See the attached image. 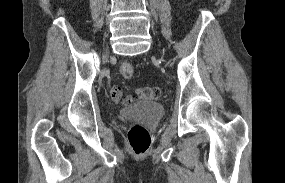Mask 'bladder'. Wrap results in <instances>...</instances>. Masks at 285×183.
Wrapping results in <instances>:
<instances>
[{
  "label": "bladder",
  "mask_w": 285,
  "mask_h": 183,
  "mask_svg": "<svg viewBox=\"0 0 285 183\" xmlns=\"http://www.w3.org/2000/svg\"><path fill=\"white\" fill-rule=\"evenodd\" d=\"M164 113L163 106L155 102H142L126 106L121 110L123 117L137 118L148 126H155Z\"/></svg>",
  "instance_id": "31cf9c89"
}]
</instances>
